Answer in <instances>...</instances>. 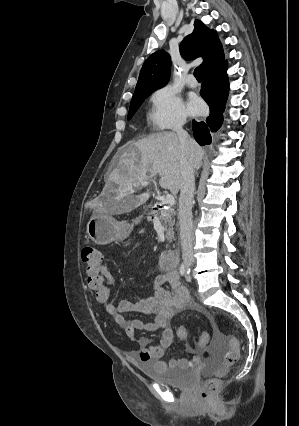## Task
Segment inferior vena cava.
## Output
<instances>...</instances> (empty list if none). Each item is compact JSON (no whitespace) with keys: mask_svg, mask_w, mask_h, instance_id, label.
<instances>
[{"mask_svg":"<svg viewBox=\"0 0 299 426\" xmlns=\"http://www.w3.org/2000/svg\"><path fill=\"white\" fill-rule=\"evenodd\" d=\"M185 120L178 123L175 132L178 136L181 146L186 149L188 143V134L183 129ZM181 184L178 208V219L180 225V237L182 246V259L186 265L193 262V222H192V206L195 190L194 170L191 166L187 155L184 153L180 160Z\"/></svg>","mask_w":299,"mask_h":426,"instance_id":"602c4592","label":"inferior vena cava"}]
</instances>
